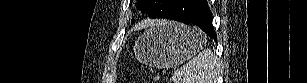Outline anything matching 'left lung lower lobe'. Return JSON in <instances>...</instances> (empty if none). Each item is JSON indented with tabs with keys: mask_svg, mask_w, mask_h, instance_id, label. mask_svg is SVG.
Returning a JSON list of instances; mask_svg holds the SVG:
<instances>
[{
	"mask_svg": "<svg viewBox=\"0 0 307 83\" xmlns=\"http://www.w3.org/2000/svg\"><path fill=\"white\" fill-rule=\"evenodd\" d=\"M163 18L195 24L216 40L217 34L212 25V13L206 0H175Z\"/></svg>",
	"mask_w": 307,
	"mask_h": 83,
	"instance_id": "obj_1",
	"label": "left lung lower lobe"
}]
</instances>
